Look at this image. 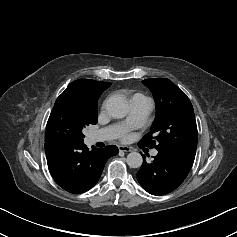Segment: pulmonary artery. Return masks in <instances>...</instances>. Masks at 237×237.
Returning <instances> with one entry per match:
<instances>
[{
  "instance_id": "pulmonary-artery-1",
  "label": "pulmonary artery",
  "mask_w": 237,
  "mask_h": 237,
  "mask_svg": "<svg viewBox=\"0 0 237 237\" xmlns=\"http://www.w3.org/2000/svg\"><path fill=\"white\" fill-rule=\"evenodd\" d=\"M151 109L152 103L150 100L143 97L132 98L130 100V111L126 121L92 132L89 136L90 141L96 143L115 139L122 136L129 128L141 127L145 123ZM157 154V150L152 151V155L155 156Z\"/></svg>"
}]
</instances>
